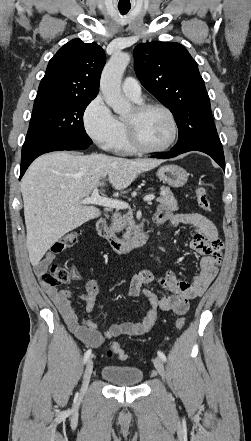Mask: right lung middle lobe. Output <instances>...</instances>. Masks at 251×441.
<instances>
[{
  "instance_id": "1",
  "label": "right lung middle lobe",
  "mask_w": 251,
  "mask_h": 441,
  "mask_svg": "<svg viewBox=\"0 0 251 441\" xmlns=\"http://www.w3.org/2000/svg\"><path fill=\"white\" fill-rule=\"evenodd\" d=\"M93 99L35 101L28 133L37 132L70 143L92 144L84 129L83 114Z\"/></svg>"
}]
</instances>
